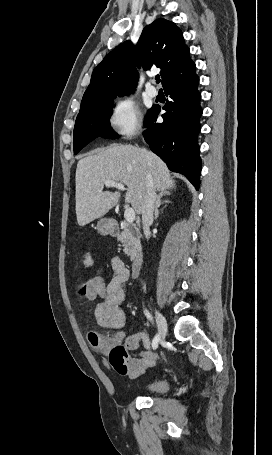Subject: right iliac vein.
Here are the masks:
<instances>
[{
    "instance_id": "1",
    "label": "right iliac vein",
    "mask_w": 272,
    "mask_h": 455,
    "mask_svg": "<svg viewBox=\"0 0 272 455\" xmlns=\"http://www.w3.org/2000/svg\"><path fill=\"white\" fill-rule=\"evenodd\" d=\"M155 316H156L159 337H160L161 341L163 342L167 335V330H168L167 323H166L164 316L156 308H155Z\"/></svg>"
}]
</instances>
